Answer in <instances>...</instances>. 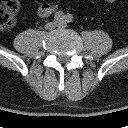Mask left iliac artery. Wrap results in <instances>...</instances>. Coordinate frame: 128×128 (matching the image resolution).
Returning a JSON list of instances; mask_svg holds the SVG:
<instances>
[{
	"mask_svg": "<svg viewBox=\"0 0 128 128\" xmlns=\"http://www.w3.org/2000/svg\"><path fill=\"white\" fill-rule=\"evenodd\" d=\"M65 21L68 22V23L73 22V16L71 14H67L65 16Z\"/></svg>",
	"mask_w": 128,
	"mask_h": 128,
	"instance_id": "obj_1",
	"label": "left iliac artery"
}]
</instances>
